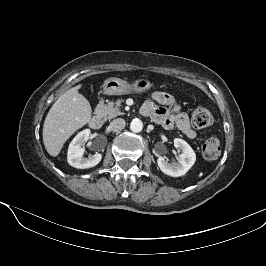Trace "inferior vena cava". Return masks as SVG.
Listing matches in <instances>:
<instances>
[{"label": "inferior vena cava", "mask_w": 266, "mask_h": 266, "mask_svg": "<svg viewBox=\"0 0 266 266\" xmlns=\"http://www.w3.org/2000/svg\"><path fill=\"white\" fill-rule=\"evenodd\" d=\"M126 125V122L122 118L114 119L110 122V129L114 132L121 131Z\"/></svg>", "instance_id": "inferior-vena-cava-1"}]
</instances>
